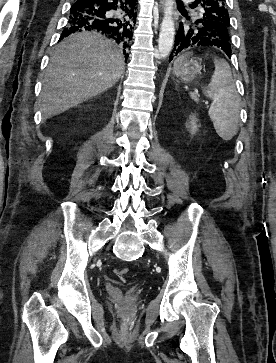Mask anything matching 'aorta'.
I'll return each instance as SVG.
<instances>
[{
  "label": "aorta",
  "instance_id": "obj_1",
  "mask_svg": "<svg viewBox=\"0 0 276 363\" xmlns=\"http://www.w3.org/2000/svg\"><path fill=\"white\" fill-rule=\"evenodd\" d=\"M173 3L174 0H166L164 17L160 27L158 50L162 59L169 56L174 44L175 27L172 17Z\"/></svg>",
  "mask_w": 276,
  "mask_h": 363
}]
</instances>
